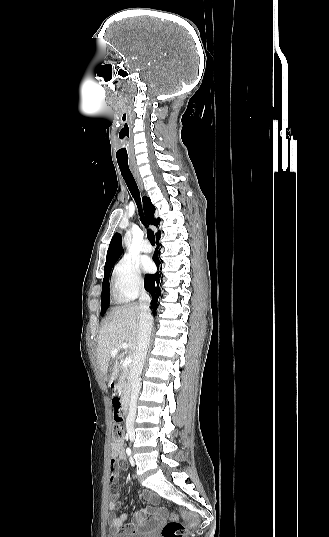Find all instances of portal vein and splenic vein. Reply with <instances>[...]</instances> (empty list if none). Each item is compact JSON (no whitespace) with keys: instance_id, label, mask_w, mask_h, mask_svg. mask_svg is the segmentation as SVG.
<instances>
[{"instance_id":"18ae733b","label":"portal vein and splenic vein","mask_w":329,"mask_h":537,"mask_svg":"<svg viewBox=\"0 0 329 537\" xmlns=\"http://www.w3.org/2000/svg\"><path fill=\"white\" fill-rule=\"evenodd\" d=\"M128 346H129V345H128L127 343H123V344L121 345V347L124 348V349H127ZM117 352H118V349H117V348H116V349H113V350L111 351V355H112V356H115V355L117 354ZM131 362H132V358H131V357H127V358L124 360L123 365H124L125 367H127V366H129V365L131 364Z\"/></svg>"}]
</instances>
